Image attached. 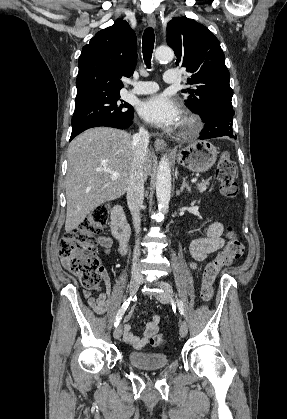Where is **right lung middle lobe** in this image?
<instances>
[{"mask_svg":"<svg viewBox=\"0 0 287 419\" xmlns=\"http://www.w3.org/2000/svg\"><path fill=\"white\" fill-rule=\"evenodd\" d=\"M134 109L120 100V96L101 99L84 106L75 107L71 120L72 132L96 120L128 121L133 118Z\"/></svg>","mask_w":287,"mask_h":419,"instance_id":"dd1d6c3e","label":"right lung middle lobe"}]
</instances>
